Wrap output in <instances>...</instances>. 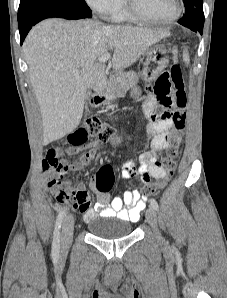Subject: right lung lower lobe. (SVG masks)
<instances>
[{"instance_id":"right-lung-lower-lobe-1","label":"right lung lower lobe","mask_w":227,"mask_h":298,"mask_svg":"<svg viewBox=\"0 0 227 298\" xmlns=\"http://www.w3.org/2000/svg\"><path fill=\"white\" fill-rule=\"evenodd\" d=\"M51 17H59L65 19H82L90 18L91 12L77 11L63 7H45L36 10L35 12H32L31 14L18 21L20 43H23L26 35L28 34L33 25L37 24L43 19Z\"/></svg>"}]
</instances>
